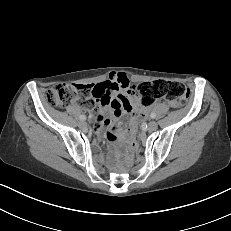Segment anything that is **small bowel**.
I'll return each instance as SVG.
<instances>
[{
    "label": "small bowel",
    "instance_id": "obj_1",
    "mask_svg": "<svg viewBox=\"0 0 231 231\" xmlns=\"http://www.w3.org/2000/svg\"><path fill=\"white\" fill-rule=\"evenodd\" d=\"M92 96L102 104L98 119L94 125L96 133L106 131L109 142L118 137L119 117L123 113L137 112L135 86L131 85L124 73H115L104 82L92 84ZM116 92H119L116 94Z\"/></svg>",
    "mask_w": 231,
    "mask_h": 231
}]
</instances>
